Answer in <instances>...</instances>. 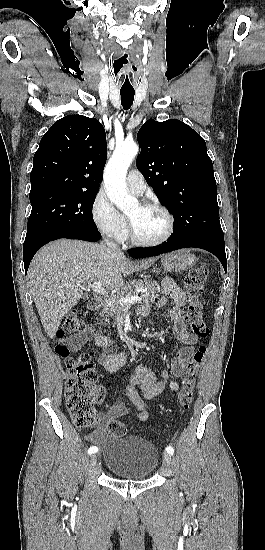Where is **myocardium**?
<instances>
[{
	"label": "myocardium",
	"mask_w": 265,
	"mask_h": 550,
	"mask_svg": "<svg viewBox=\"0 0 265 550\" xmlns=\"http://www.w3.org/2000/svg\"><path fill=\"white\" fill-rule=\"evenodd\" d=\"M139 205L143 209H157L161 211L167 218V230L164 233V235L158 239L142 240L136 235L133 223L131 219L127 217L128 234L131 242L134 245L140 246V247H154L168 241L175 229V219L173 214L170 212V210L165 206H163L162 204H160L159 202H155V201H143V202H140Z\"/></svg>",
	"instance_id": "1"
}]
</instances>
